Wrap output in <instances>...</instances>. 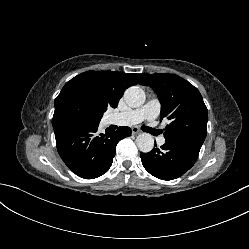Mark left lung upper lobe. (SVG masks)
<instances>
[{
	"mask_svg": "<svg viewBox=\"0 0 249 249\" xmlns=\"http://www.w3.org/2000/svg\"><path fill=\"white\" fill-rule=\"evenodd\" d=\"M142 85L150 86L161 103L160 121H171L165 140L183 139L203 144L207 134L208 111L196 87L168 73L145 74Z\"/></svg>",
	"mask_w": 249,
	"mask_h": 249,
	"instance_id": "obj_1",
	"label": "left lung upper lobe"
}]
</instances>
